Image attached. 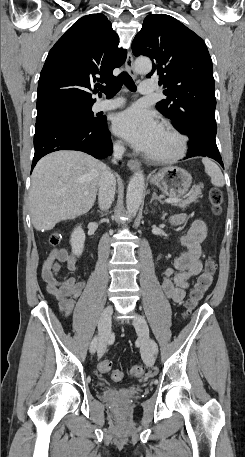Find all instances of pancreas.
Returning a JSON list of instances; mask_svg holds the SVG:
<instances>
[{
  "label": "pancreas",
  "instance_id": "1",
  "mask_svg": "<svg viewBox=\"0 0 245 457\" xmlns=\"http://www.w3.org/2000/svg\"><path fill=\"white\" fill-rule=\"evenodd\" d=\"M202 184H196V186H192L188 198L185 200H181V202H173L175 206H181V208H186L187 204L190 202H196V198H198V194H202L201 192Z\"/></svg>",
  "mask_w": 245,
  "mask_h": 457
}]
</instances>
